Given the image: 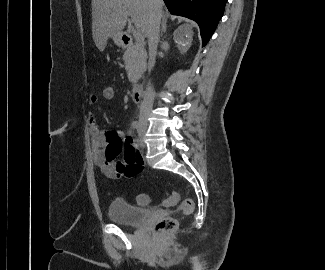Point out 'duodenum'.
Returning <instances> with one entry per match:
<instances>
[{"mask_svg":"<svg viewBox=\"0 0 325 270\" xmlns=\"http://www.w3.org/2000/svg\"><path fill=\"white\" fill-rule=\"evenodd\" d=\"M122 40L125 44H130L132 42V38L128 33L122 34ZM133 101L137 104H140L144 100V89L141 85H137L134 87L133 92Z\"/></svg>","mask_w":325,"mask_h":270,"instance_id":"1","label":"duodenum"}]
</instances>
